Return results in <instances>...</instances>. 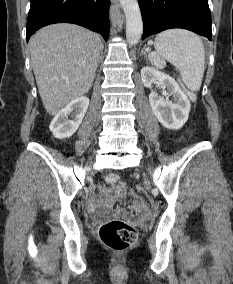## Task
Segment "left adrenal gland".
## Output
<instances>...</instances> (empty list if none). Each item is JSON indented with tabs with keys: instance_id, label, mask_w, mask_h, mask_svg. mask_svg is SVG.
Returning a JSON list of instances; mask_svg holds the SVG:
<instances>
[{
	"instance_id": "a2214340",
	"label": "left adrenal gland",
	"mask_w": 233,
	"mask_h": 284,
	"mask_svg": "<svg viewBox=\"0 0 233 284\" xmlns=\"http://www.w3.org/2000/svg\"><path fill=\"white\" fill-rule=\"evenodd\" d=\"M141 54L144 55L145 58L147 57V54L144 50L141 51Z\"/></svg>"
}]
</instances>
